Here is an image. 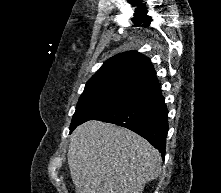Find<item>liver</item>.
Returning <instances> with one entry per match:
<instances>
[{"label":"liver","mask_w":221,"mask_h":193,"mask_svg":"<svg viewBox=\"0 0 221 193\" xmlns=\"http://www.w3.org/2000/svg\"><path fill=\"white\" fill-rule=\"evenodd\" d=\"M67 156L77 193H142L161 170L160 153L147 140L96 120L72 132Z\"/></svg>","instance_id":"6515ba94"}]
</instances>
